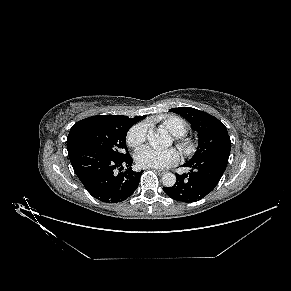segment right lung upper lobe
Listing matches in <instances>:
<instances>
[{"label":"right lung upper lobe","mask_w":291,"mask_h":291,"mask_svg":"<svg viewBox=\"0 0 291 291\" xmlns=\"http://www.w3.org/2000/svg\"><path fill=\"white\" fill-rule=\"evenodd\" d=\"M144 116H136L134 118H129L127 116H117V115H100V116H92L81 121H78L73 125L70 130V133L67 138V149H71L75 147V143L73 142L74 137L76 134L82 130L83 128L94 125V124H102V123H126L129 125H134L135 123L139 122L140 120L144 119Z\"/></svg>","instance_id":"right-lung-upper-lobe-1"}]
</instances>
